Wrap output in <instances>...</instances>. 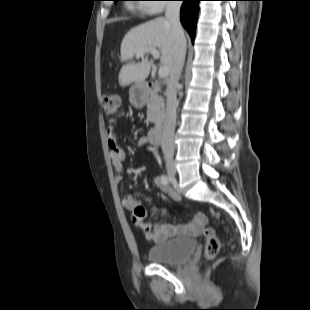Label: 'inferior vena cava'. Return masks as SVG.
<instances>
[{"instance_id":"1","label":"inferior vena cava","mask_w":310,"mask_h":310,"mask_svg":"<svg viewBox=\"0 0 310 310\" xmlns=\"http://www.w3.org/2000/svg\"><path fill=\"white\" fill-rule=\"evenodd\" d=\"M181 1H169L166 5V19L173 28L175 44L173 62L170 69V78L166 90V113L162 126L161 148L164 156L174 154V133L177 109V85L185 61L186 39L180 23Z\"/></svg>"}]
</instances>
